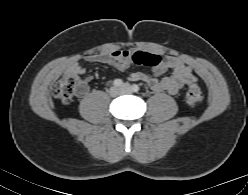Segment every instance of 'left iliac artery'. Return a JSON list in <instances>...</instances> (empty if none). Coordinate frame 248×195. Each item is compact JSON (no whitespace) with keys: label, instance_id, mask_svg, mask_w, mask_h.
Returning a JSON list of instances; mask_svg holds the SVG:
<instances>
[{"label":"left iliac artery","instance_id":"left-iliac-artery-1","mask_svg":"<svg viewBox=\"0 0 248 195\" xmlns=\"http://www.w3.org/2000/svg\"><path fill=\"white\" fill-rule=\"evenodd\" d=\"M131 88H132V91H133V92H136V93H137V92L139 91V89H140L139 86H138L137 84H133Z\"/></svg>","mask_w":248,"mask_h":195}]
</instances>
